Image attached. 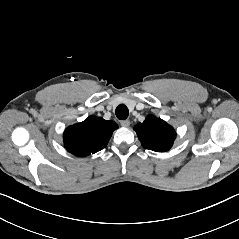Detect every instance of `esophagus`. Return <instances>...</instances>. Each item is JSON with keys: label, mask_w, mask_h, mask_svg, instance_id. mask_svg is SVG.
Wrapping results in <instances>:
<instances>
[{"label": "esophagus", "mask_w": 239, "mask_h": 239, "mask_svg": "<svg viewBox=\"0 0 239 239\" xmlns=\"http://www.w3.org/2000/svg\"><path fill=\"white\" fill-rule=\"evenodd\" d=\"M121 126L123 127H129L130 126V121L129 120H122L120 122Z\"/></svg>", "instance_id": "1"}]
</instances>
